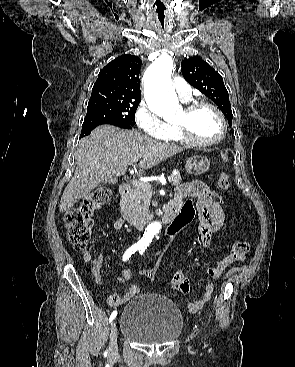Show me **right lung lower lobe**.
<instances>
[{"instance_id":"98d812e1","label":"right lung lower lobe","mask_w":295,"mask_h":367,"mask_svg":"<svg viewBox=\"0 0 295 367\" xmlns=\"http://www.w3.org/2000/svg\"><path fill=\"white\" fill-rule=\"evenodd\" d=\"M115 126H118L120 128H124V129H130V128H132L133 125H130V124H119V125H115ZM93 129L94 128H91V129L87 130L86 133L81 134V137L90 134Z\"/></svg>"}]
</instances>
